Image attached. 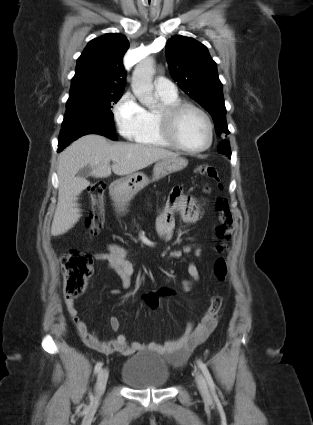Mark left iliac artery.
Returning <instances> with one entry per match:
<instances>
[{
	"label": "left iliac artery",
	"mask_w": 313,
	"mask_h": 425,
	"mask_svg": "<svg viewBox=\"0 0 313 425\" xmlns=\"http://www.w3.org/2000/svg\"><path fill=\"white\" fill-rule=\"evenodd\" d=\"M197 364L199 366V368L201 369L202 373L205 376V379L209 385L210 391L212 392V394H215V384L214 381L211 377V374L207 368V366L201 361V360H197Z\"/></svg>",
	"instance_id": "left-iliac-artery-1"
}]
</instances>
